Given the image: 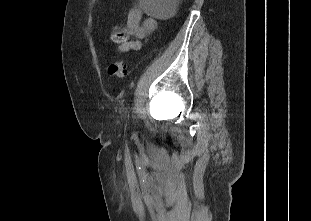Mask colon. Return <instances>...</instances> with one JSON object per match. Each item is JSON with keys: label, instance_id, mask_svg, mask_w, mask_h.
<instances>
[{"label": "colon", "instance_id": "colon-1", "mask_svg": "<svg viewBox=\"0 0 311 221\" xmlns=\"http://www.w3.org/2000/svg\"><path fill=\"white\" fill-rule=\"evenodd\" d=\"M104 2V0H101ZM112 38L116 42H124L126 40V35L121 31H113ZM108 73L117 79H124L127 76V67L125 63L120 59H115L110 61L108 65Z\"/></svg>", "mask_w": 311, "mask_h": 221}]
</instances>
